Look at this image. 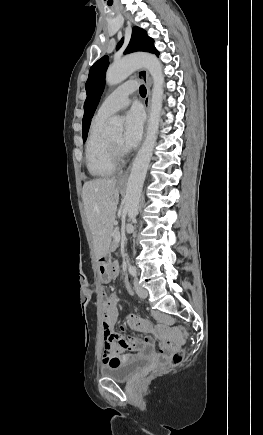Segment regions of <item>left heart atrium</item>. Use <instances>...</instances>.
I'll list each match as a JSON object with an SVG mask.
<instances>
[{"mask_svg":"<svg viewBox=\"0 0 263 435\" xmlns=\"http://www.w3.org/2000/svg\"><path fill=\"white\" fill-rule=\"evenodd\" d=\"M142 131V113L138 109L130 110L125 116V131L121 142L124 149L128 150L135 147L142 137Z\"/></svg>","mask_w":263,"mask_h":435,"instance_id":"39dd6f15","label":"left heart atrium"}]
</instances>
